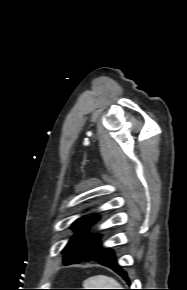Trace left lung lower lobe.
Listing matches in <instances>:
<instances>
[{
    "instance_id": "1",
    "label": "left lung lower lobe",
    "mask_w": 187,
    "mask_h": 290,
    "mask_svg": "<svg viewBox=\"0 0 187 290\" xmlns=\"http://www.w3.org/2000/svg\"><path fill=\"white\" fill-rule=\"evenodd\" d=\"M90 260L97 261L99 264L111 268L113 271L118 273L120 276H122L129 283L127 273L118 265L117 260L115 258V254L112 250L102 249L98 254H96ZM90 260H87V261H90ZM83 262H86V261H83ZM75 263L76 262L74 261L71 263H67L65 265L75 264Z\"/></svg>"
}]
</instances>
